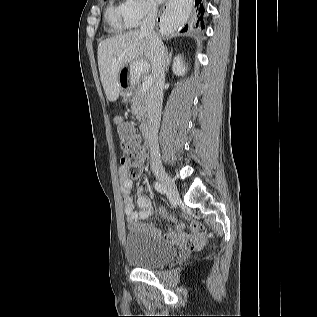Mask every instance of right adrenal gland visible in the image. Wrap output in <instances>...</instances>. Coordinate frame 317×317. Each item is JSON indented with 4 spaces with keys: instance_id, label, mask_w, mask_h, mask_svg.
<instances>
[{
    "instance_id": "2a0ac1e0",
    "label": "right adrenal gland",
    "mask_w": 317,
    "mask_h": 317,
    "mask_svg": "<svg viewBox=\"0 0 317 317\" xmlns=\"http://www.w3.org/2000/svg\"><path fill=\"white\" fill-rule=\"evenodd\" d=\"M165 55H166V72H167L169 69L171 59H172V51L168 53L167 47H165Z\"/></svg>"
}]
</instances>
